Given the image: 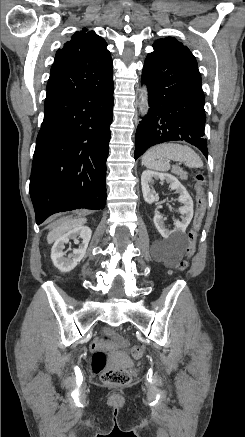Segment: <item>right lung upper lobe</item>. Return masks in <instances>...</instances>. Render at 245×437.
I'll return each instance as SVG.
<instances>
[{
	"label": "right lung upper lobe",
	"instance_id": "1",
	"mask_svg": "<svg viewBox=\"0 0 245 437\" xmlns=\"http://www.w3.org/2000/svg\"><path fill=\"white\" fill-rule=\"evenodd\" d=\"M106 46L94 31L83 28L75 32L56 52L45 107L106 85L113 78V62Z\"/></svg>",
	"mask_w": 245,
	"mask_h": 437
}]
</instances>
